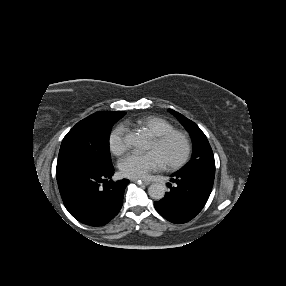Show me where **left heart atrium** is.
Here are the masks:
<instances>
[{"label": "left heart atrium", "instance_id": "left-heart-atrium-1", "mask_svg": "<svg viewBox=\"0 0 286 286\" xmlns=\"http://www.w3.org/2000/svg\"><path fill=\"white\" fill-rule=\"evenodd\" d=\"M163 167L157 155L152 152H133L119 163L122 173L129 178H148L152 172Z\"/></svg>", "mask_w": 286, "mask_h": 286}]
</instances>
